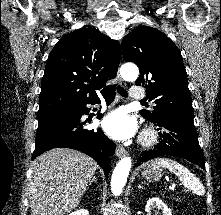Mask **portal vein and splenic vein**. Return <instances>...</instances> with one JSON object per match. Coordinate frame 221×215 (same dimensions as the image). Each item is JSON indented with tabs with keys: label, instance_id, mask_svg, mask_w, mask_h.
<instances>
[{
	"label": "portal vein and splenic vein",
	"instance_id": "portal-vein-and-splenic-vein-1",
	"mask_svg": "<svg viewBox=\"0 0 221 215\" xmlns=\"http://www.w3.org/2000/svg\"><path fill=\"white\" fill-rule=\"evenodd\" d=\"M169 188L170 189H174L175 188V184H172Z\"/></svg>",
	"mask_w": 221,
	"mask_h": 215
}]
</instances>
